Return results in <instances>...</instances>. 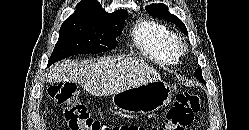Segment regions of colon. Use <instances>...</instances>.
<instances>
[{
    "label": "colon",
    "instance_id": "5ec220e1",
    "mask_svg": "<svg viewBox=\"0 0 249 130\" xmlns=\"http://www.w3.org/2000/svg\"><path fill=\"white\" fill-rule=\"evenodd\" d=\"M48 94L55 104L62 107L64 119L70 130H185L193 122L201 102L197 95L184 91L179 93L163 121L152 127L137 124L106 125L91 116L86 105L79 99L75 84L64 82L52 85Z\"/></svg>",
    "mask_w": 249,
    "mask_h": 130
}]
</instances>
